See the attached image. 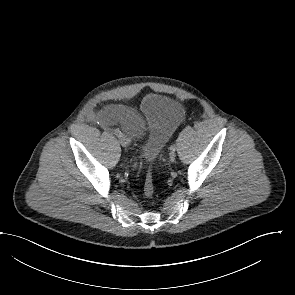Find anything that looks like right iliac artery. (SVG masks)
I'll return each instance as SVG.
<instances>
[{"label": "right iliac artery", "instance_id": "right-iliac-artery-1", "mask_svg": "<svg viewBox=\"0 0 295 295\" xmlns=\"http://www.w3.org/2000/svg\"><path fill=\"white\" fill-rule=\"evenodd\" d=\"M115 135H116L117 137H122V136H123V134H122V132H121L120 130H116V131H115Z\"/></svg>", "mask_w": 295, "mask_h": 295}]
</instances>
